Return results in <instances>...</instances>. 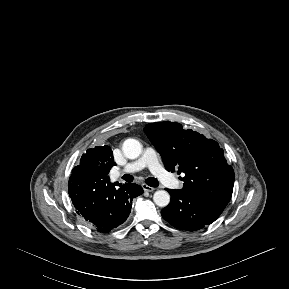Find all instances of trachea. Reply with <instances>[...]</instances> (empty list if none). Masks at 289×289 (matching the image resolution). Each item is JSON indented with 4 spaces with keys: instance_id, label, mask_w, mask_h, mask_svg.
Returning a JSON list of instances; mask_svg holds the SVG:
<instances>
[{
    "instance_id": "1",
    "label": "trachea",
    "mask_w": 289,
    "mask_h": 289,
    "mask_svg": "<svg viewBox=\"0 0 289 289\" xmlns=\"http://www.w3.org/2000/svg\"><path fill=\"white\" fill-rule=\"evenodd\" d=\"M122 179H124L126 182H132L133 181V176L129 174H125ZM146 184L151 186V187H157L159 185V182L156 178L154 177H149L145 180Z\"/></svg>"
}]
</instances>
